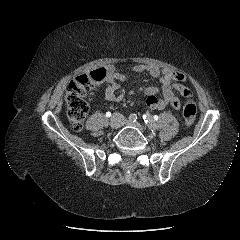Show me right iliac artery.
<instances>
[{
	"instance_id": "right-iliac-artery-1",
	"label": "right iliac artery",
	"mask_w": 240,
	"mask_h": 240,
	"mask_svg": "<svg viewBox=\"0 0 240 240\" xmlns=\"http://www.w3.org/2000/svg\"><path fill=\"white\" fill-rule=\"evenodd\" d=\"M128 119H129V121L135 122L137 120V115L136 114H130Z\"/></svg>"
}]
</instances>
